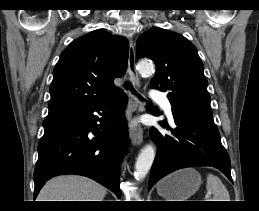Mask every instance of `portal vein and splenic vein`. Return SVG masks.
I'll list each match as a JSON object with an SVG mask.
<instances>
[{"instance_id": "18ae733b", "label": "portal vein and splenic vein", "mask_w": 259, "mask_h": 211, "mask_svg": "<svg viewBox=\"0 0 259 211\" xmlns=\"http://www.w3.org/2000/svg\"><path fill=\"white\" fill-rule=\"evenodd\" d=\"M210 197V195H206V198H209Z\"/></svg>"}]
</instances>
